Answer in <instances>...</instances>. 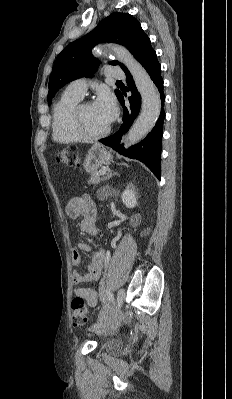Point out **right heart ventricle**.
Returning <instances> with one entry per match:
<instances>
[{
  "mask_svg": "<svg viewBox=\"0 0 232 399\" xmlns=\"http://www.w3.org/2000/svg\"><path fill=\"white\" fill-rule=\"evenodd\" d=\"M81 99L66 93L54 103L51 112V135L56 143L74 145L81 141L73 133L70 124L73 109Z\"/></svg>",
  "mask_w": 232,
  "mask_h": 399,
  "instance_id": "obj_1",
  "label": "right heart ventricle"
}]
</instances>
